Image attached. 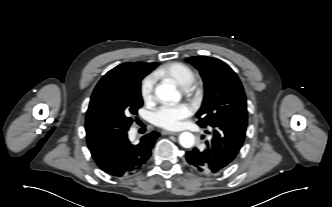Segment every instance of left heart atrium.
<instances>
[{"label": "left heart atrium", "mask_w": 332, "mask_h": 207, "mask_svg": "<svg viewBox=\"0 0 332 207\" xmlns=\"http://www.w3.org/2000/svg\"><path fill=\"white\" fill-rule=\"evenodd\" d=\"M192 112V108L187 104L163 105L153 112L152 121L161 128L175 130L182 126Z\"/></svg>", "instance_id": "left-heart-atrium-1"}]
</instances>
